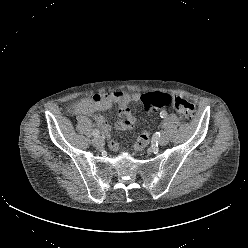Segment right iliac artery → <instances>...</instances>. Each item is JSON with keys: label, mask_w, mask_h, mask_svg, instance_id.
I'll return each instance as SVG.
<instances>
[{"label": "right iliac artery", "mask_w": 248, "mask_h": 248, "mask_svg": "<svg viewBox=\"0 0 248 248\" xmlns=\"http://www.w3.org/2000/svg\"><path fill=\"white\" fill-rule=\"evenodd\" d=\"M99 135H100L99 130L95 129V130L93 131V136H94V137H98Z\"/></svg>", "instance_id": "1"}]
</instances>
